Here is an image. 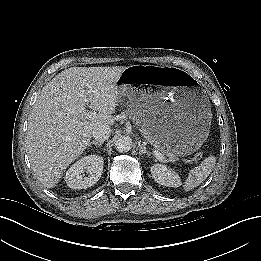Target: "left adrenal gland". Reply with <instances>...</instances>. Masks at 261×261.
Instances as JSON below:
<instances>
[{
	"label": "left adrenal gland",
	"instance_id": "left-adrenal-gland-1",
	"mask_svg": "<svg viewBox=\"0 0 261 261\" xmlns=\"http://www.w3.org/2000/svg\"><path fill=\"white\" fill-rule=\"evenodd\" d=\"M138 147H139V155L151 156V153L147 151L146 147L142 143L139 142Z\"/></svg>",
	"mask_w": 261,
	"mask_h": 261
}]
</instances>
